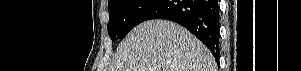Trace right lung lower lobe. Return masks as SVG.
Listing matches in <instances>:
<instances>
[{
    "mask_svg": "<svg viewBox=\"0 0 301 71\" xmlns=\"http://www.w3.org/2000/svg\"><path fill=\"white\" fill-rule=\"evenodd\" d=\"M166 19L181 24L201 40L219 62V6L217 0H156L139 23Z\"/></svg>",
    "mask_w": 301,
    "mask_h": 71,
    "instance_id": "obj_1",
    "label": "right lung lower lobe"
}]
</instances>
